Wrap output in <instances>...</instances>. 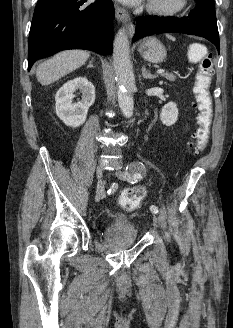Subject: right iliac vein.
<instances>
[{
	"mask_svg": "<svg viewBox=\"0 0 233 328\" xmlns=\"http://www.w3.org/2000/svg\"><path fill=\"white\" fill-rule=\"evenodd\" d=\"M96 174H97V184H96L95 200L99 201L105 195V182L102 178V168L101 167H99V166L97 167Z\"/></svg>",
	"mask_w": 233,
	"mask_h": 328,
	"instance_id": "right-iliac-vein-1",
	"label": "right iliac vein"
}]
</instances>
